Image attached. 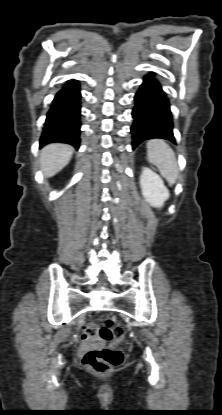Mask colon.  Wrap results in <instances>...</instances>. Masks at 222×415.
Masks as SVG:
<instances>
[{
  "instance_id": "1",
  "label": "colon",
  "mask_w": 222,
  "mask_h": 415,
  "mask_svg": "<svg viewBox=\"0 0 222 415\" xmlns=\"http://www.w3.org/2000/svg\"><path fill=\"white\" fill-rule=\"evenodd\" d=\"M123 335L122 327L116 326L110 318L102 323H89L82 332L84 340L101 339L110 341L115 338H121ZM123 359L124 354L121 350L99 347L87 350L82 362L89 370L98 374H105L119 366Z\"/></svg>"
}]
</instances>
